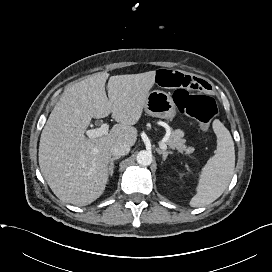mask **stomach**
<instances>
[{
    "instance_id": "obj_1",
    "label": "stomach",
    "mask_w": 272,
    "mask_h": 272,
    "mask_svg": "<svg viewBox=\"0 0 272 272\" xmlns=\"http://www.w3.org/2000/svg\"><path fill=\"white\" fill-rule=\"evenodd\" d=\"M144 109L148 115L162 119H173L176 115V105L172 97L160 90L149 92Z\"/></svg>"
}]
</instances>
